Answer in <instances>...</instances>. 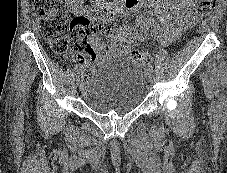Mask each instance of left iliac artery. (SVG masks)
<instances>
[{
  "label": "left iliac artery",
  "mask_w": 227,
  "mask_h": 173,
  "mask_svg": "<svg viewBox=\"0 0 227 173\" xmlns=\"http://www.w3.org/2000/svg\"><path fill=\"white\" fill-rule=\"evenodd\" d=\"M146 69H148V70H150V71H153V66H152V64H148V65L146 66Z\"/></svg>",
  "instance_id": "44dca946"
}]
</instances>
